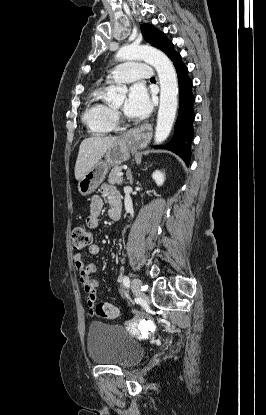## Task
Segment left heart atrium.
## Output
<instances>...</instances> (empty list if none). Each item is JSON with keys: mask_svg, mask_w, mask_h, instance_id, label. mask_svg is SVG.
Returning a JSON list of instances; mask_svg holds the SVG:
<instances>
[{"mask_svg": "<svg viewBox=\"0 0 266 415\" xmlns=\"http://www.w3.org/2000/svg\"><path fill=\"white\" fill-rule=\"evenodd\" d=\"M152 109V102L146 87L140 83L134 84L124 105V112L133 118L145 117Z\"/></svg>", "mask_w": 266, "mask_h": 415, "instance_id": "left-heart-atrium-1", "label": "left heart atrium"}]
</instances>
